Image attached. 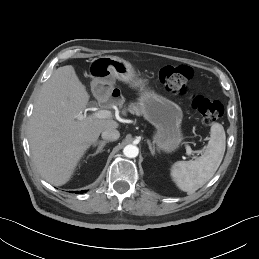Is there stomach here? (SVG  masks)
Returning a JSON list of instances; mask_svg holds the SVG:
<instances>
[{
	"label": "stomach",
	"mask_w": 259,
	"mask_h": 259,
	"mask_svg": "<svg viewBox=\"0 0 259 259\" xmlns=\"http://www.w3.org/2000/svg\"><path fill=\"white\" fill-rule=\"evenodd\" d=\"M89 73L95 94L110 93L116 80L137 90L139 109L156 128L154 144L165 152H173L180 146L184 138L181 107L152 90L147 80L139 77L131 63L116 56H103L92 60Z\"/></svg>",
	"instance_id": "1"
}]
</instances>
